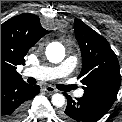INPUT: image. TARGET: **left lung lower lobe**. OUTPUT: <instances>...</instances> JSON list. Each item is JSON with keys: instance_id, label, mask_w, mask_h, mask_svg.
Listing matches in <instances>:
<instances>
[{"instance_id": "left-lung-lower-lobe-1", "label": "left lung lower lobe", "mask_w": 122, "mask_h": 122, "mask_svg": "<svg viewBox=\"0 0 122 122\" xmlns=\"http://www.w3.org/2000/svg\"><path fill=\"white\" fill-rule=\"evenodd\" d=\"M65 96L68 100L67 107L60 115L66 122H95L111 108V105L93 97L83 96L73 101L67 94Z\"/></svg>"}]
</instances>
